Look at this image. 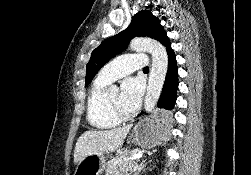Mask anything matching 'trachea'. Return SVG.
I'll use <instances>...</instances> for the list:
<instances>
[{
    "mask_svg": "<svg viewBox=\"0 0 251 175\" xmlns=\"http://www.w3.org/2000/svg\"><path fill=\"white\" fill-rule=\"evenodd\" d=\"M143 71H149V67H144Z\"/></svg>",
    "mask_w": 251,
    "mask_h": 175,
    "instance_id": "obj_1",
    "label": "trachea"
}]
</instances>
